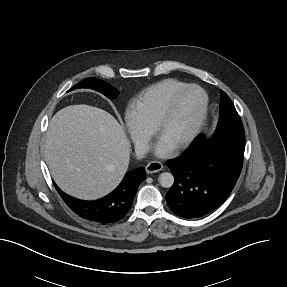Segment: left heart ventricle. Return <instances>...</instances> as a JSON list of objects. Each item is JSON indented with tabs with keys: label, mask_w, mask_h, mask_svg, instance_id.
Instances as JSON below:
<instances>
[{
	"label": "left heart ventricle",
	"mask_w": 287,
	"mask_h": 287,
	"mask_svg": "<svg viewBox=\"0 0 287 287\" xmlns=\"http://www.w3.org/2000/svg\"><path fill=\"white\" fill-rule=\"evenodd\" d=\"M201 105L202 95L197 90L183 94L177 101L173 114L161 133L160 142L168 147L178 144L198 120Z\"/></svg>",
	"instance_id": "1"
}]
</instances>
